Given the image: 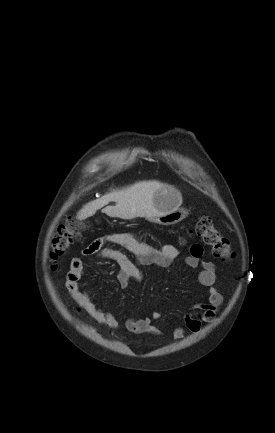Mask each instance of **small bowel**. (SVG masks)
<instances>
[{
	"label": "small bowel",
	"mask_w": 275,
	"mask_h": 433,
	"mask_svg": "<svg viewBox=\"0 0 275 433\" xmlns=\"http://www.w3.org/2000/svg\"><path fill=\"white\" fill-rule=\"evenodd\" d=\"M122 247L136 255V261H132L122 252L104 247V242ZM86 256L97 255L102 259H107L117 263L120 266L118 282L121 287L125 288L131 280L141 281L144 274L140 270V265L167 267L178 256V249L171 244L161 247H154L139 237L129 232H118L108 235L105 239H97L89 244L84 250ZM203 247L200 244H194L190 248V255L186 258V265L191 268L200 267L198 273V282L200 285L208 288L207 301L196 305L198 313L196 315H186L185 327L192 333L200 331L203 323L212 322L222 305L223 297L214 287L216 281L215 265L206 260H202ZM83 271V261L79 257L71 260L70 269L67 273L66 287L73 299L82 306L97 322L107 326L110 329L119 328L118 319L110 312L102 310L91 298L90 294L81 289L80 279ZM162 313L154 311L151 317L139 319H127L125 327L128 331L136 334L157 333L152 320H158ZM173 338L180 340L184 337L185 332L182 328L176 327L172 331Z\"/></svg>",
	"instance_id": "1"
}]
</instances>
